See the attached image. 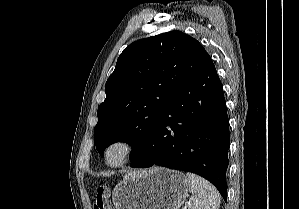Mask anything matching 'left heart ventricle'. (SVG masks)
<instances>
[{
    "label": "left heart ventricle",
    "instance_id": "left-heart-ventricle-1",
    "mask_svg": "<svg viewBox=\"0 0 299 209\" xmlns=\"http://www.w3.org/2000/svg\"><path fill=\"white\" fill-rule=\"evenodd\" d=\"M123 155V148L121 146H115L111 148L108 154V160L110 163L118 162Z\"/></svg>",
    "mask_w": 299,
    "mask_h": 209
}]
</instances>
